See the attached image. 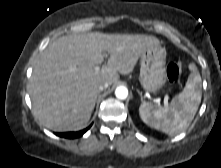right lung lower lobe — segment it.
Returning <instances> with one entry per match:
<instances>
[{
	"label": "right lung lower lobe",
	"mask_w": 221,
	"mask_h": 168,
	"mask_svg": "<svg viewBox=\"0 0 221 168\" xmlns=\"http://www.w3.org/2000/svg\"><path fill=\"white\" fill-rule=\"evenodd\" d=\"M89 128H90V126L84 130L79 131V132L57 133V135L60 137L70 138V139L77 138V137L82 136Z\"/></svg>",
	"instance_id": "98d812e1"
}]
</instances>
